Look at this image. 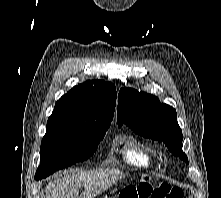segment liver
Segmentation results:
<instances>
[{"instance_id": "1", "label": "liver", "mask_w": 221, "mask_h": 198, "mask_svg": "<svg viewBox=\"0 0 221 198\" xmlns=\"http://www.w3.org/2000/svg\"><path fill=\"white\" fill-rule=\"evenodd\" d=\"M124 177L125 174L118 169L77 171L49 182L46 198H94ZM81 186L84 192L79 196Z\"/></svg>"}]
</instances>
